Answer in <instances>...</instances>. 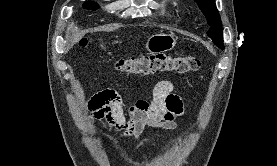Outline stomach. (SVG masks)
<instances>
[{
	"instance_id": "stomach-1",
	"label": "stomach",
	"mask_w": 277,
	"mask_h": 166,
	"mask_svg": "<svg viewBox=\"0 0 277 166\" xmlns=\"http://www.w3.org/2000/svg\"><path fill=\"white\" fill-rule=\"evenodd\" d=\"M176 39L171 34L158 33L152 35L147 43L146 49L153 54L166 52L174 48Z\"/></svg>"
}]
</instances>
